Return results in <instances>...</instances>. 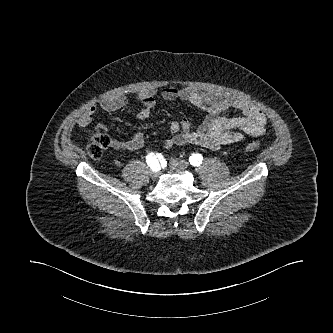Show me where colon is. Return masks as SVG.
I'll return each mask as SVG.
<instances>
[{
  "label": "colon",
  "instance_id": "5ec220e1",
  "mask_svg": "<svg viewBox=\"0 0 333 333\" xmlns=\"http://www.w3.org/2000/svg\"><path fill=\"white\" fill-rule=\"evenodd\" d=\"M111 140L103 131L95 132L90 136V141L87 145V153L93 159H98L103 152L109 147ZM260 145L257 142H249L243 147V152L251 154L258 151Z\"/></svg>",
  "mask_w": 333,
  "mask_h": 333
}]
</instances>
